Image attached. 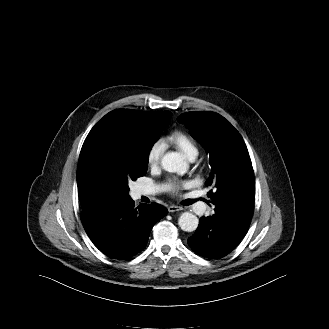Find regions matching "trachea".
Listing matches in <instances>:
<instances>
[{
  "mask_svg": "<svg viewBox=\"0 0 329 329\" xmlns=\"http://www.w3.org/2000/svg\"><path fill=\"white\" fill-rule=\"evenodd\" d=\"M193 202H195V200H190V204H192Z\"/></svg>",
  "mask_w": 329,
  "mask_h": 329,
  "instance_id": "3493384b",
  "label": "trachea"
}]
</instances>
